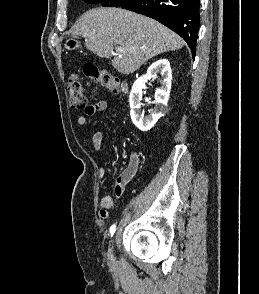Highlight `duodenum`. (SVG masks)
<instances>
[{"mask_svg":"<svg viewBox=\"0 0 259 294\" xmlns=\"http://www.w3.org/2000/svg\"><path fill=\"white\" fill-rule=\"evenodd\" d=\"M122 89L126 90V84H124V83L122 84Z\"/></svg>","mask_w":259,"mask_h":294,"instance_id":"410a0bca","label":"duodenum"}]
</instances>
